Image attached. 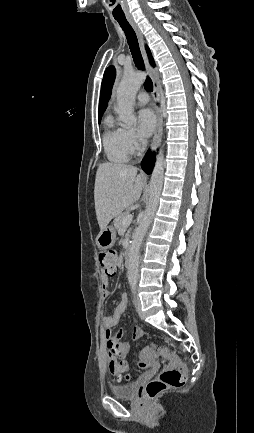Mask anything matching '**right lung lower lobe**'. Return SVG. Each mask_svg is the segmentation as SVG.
I'll list each match as a JSON object with an SVG mask.
<instances>
[{"instance_id":"1","label":"right lung lower lobe","mask_w":254,"mask_h":433,"mask_svg":"<svg viewBox=\"0 0 254 433\" xmlns=\"http://www.w3.org/2000/svg\"><path fill=\"white\" fill-rule=\"evenodd\" d=\"M155 163V153L147 152L145 158L142 161V168L147 173L150 174L152 172L153 166Z\"/></svg>"}]
</instances>
